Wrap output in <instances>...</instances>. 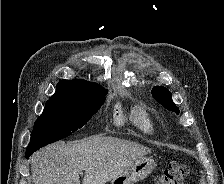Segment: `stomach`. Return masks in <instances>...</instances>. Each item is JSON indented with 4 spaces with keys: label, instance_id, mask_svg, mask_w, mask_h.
Wrapping results in <instances>:
<instances>
[{
    "label": "stomach",
    "instance_id": "0dacf381",
    "mask_svg": "<svg viewBox=\"0 0 224 184\" xmlns=\"http://www.w3.org/2000/svg\"><path fill=\"white\" fill-rule=\"evenodd\" d=\"M156 164L153 159L142 158L129 165L123 173L114 178L111 184H135L147 178L154 170Z\"/></svg>",
    "mask_w": 224,
    "mask_h": 184
}]
</instances>
